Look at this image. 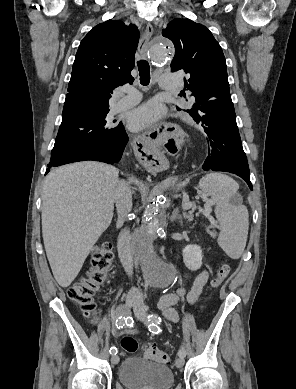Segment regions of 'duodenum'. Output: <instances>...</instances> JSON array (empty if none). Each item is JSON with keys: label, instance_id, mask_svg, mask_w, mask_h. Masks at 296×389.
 I'll return each mask as SVG.
<instances>
[{"label": "duodenum", "instance_id": "obj_1", "mask_svg": "<svg viewBox=\"0 0 296 389\" xmlns=\"http://www.w3.org/2000/svg\"><path fill=\"white\" fill-rule=\"evenodd\" d=\"M118 251L121 258H126L129 253V245L126 239H121L118 245Z\"/></svg>", "mask_w": 296, "mask_h": 389}]
</instances>
